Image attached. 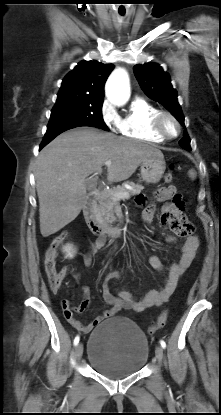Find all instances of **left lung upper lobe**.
<instances>
[{"label":"left lung upper lobe","instance_id":"obj_1","mask_svg":"<svg viewBox=\"0 0 221 415\" xmlns=\"http://www.w3.org/2000/svg\"><path fill=\"white\" fill-rule=\"evenodd\" d=\"M135 76L147 96L164 105L171 114L184 126V115L177 100V91L171 85L168 73L164 72L160 65L148 63L134 66ZM180 146L186 150L190 148V138L184 131Z\"/></svg>","mask_w":221,"mask_h":415}]
</instances>
